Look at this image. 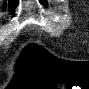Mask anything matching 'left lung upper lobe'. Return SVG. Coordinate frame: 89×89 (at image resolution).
Segmentation results:
<instances>
[{"label":"left lung upper lobe","instance_id":"1","mask_svg":"<svg viewBox=\"0 0 89 89\" xmlns=\"http://www.w3.org/2000/svg\"><path fill=\"white\" fill-rule=\"evenodd\" d=\"M41 4L47 5L46 0H40Z\"/></svg>","mask_w":89,"mask_h":89}]
</instances>
